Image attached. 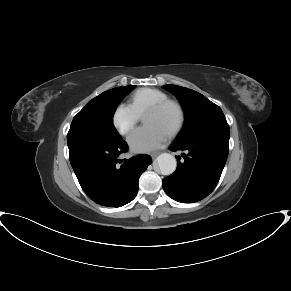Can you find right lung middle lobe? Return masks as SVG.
<instances>
[{
  "label": "right lung middle lobe",
  "instance_id": "obj_1",
  "mask_svg": "<svg viewBox=\"0 0 291 291\" xmlns=\"http://www.w3.org/2000/svg\"><path fill=\"white\" fill-rule=\"evenodd\" d=\"M135 85L116 87L89 101L74 117L67 139H90L104 143H114L121 136L113 125V115L119 102Z\"/></svg>",
  "mask_w": 291,
  "mask_h": 291
}]
</instances>
